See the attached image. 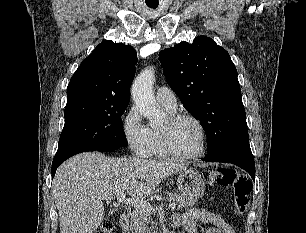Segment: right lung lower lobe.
I'll use <instances>...</instances> for the list:
<instances>
[{
  "instance_id": "obj_1",
  "label": "right lung lower lobe",
  "mask_w": 306,
  "mask_h": 233,
  "mask_svg": "<svg viewBox=\"0 0 306 233\" xmlns=\"http://www.w3.org/2000/svg\"><path fill=\"white\" fill-rule=\"evenodd\" d=\"M119 146H82V147H78L75 149H72L60 156H55L54 160L52 162V178L55 175V172L57 170V167L64 162L66 159H68L69 157L81 153V152H86V151H102V152H107V151H114L116 149H118Z\"/></svg>"
}]
</instances>
